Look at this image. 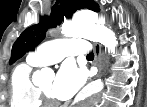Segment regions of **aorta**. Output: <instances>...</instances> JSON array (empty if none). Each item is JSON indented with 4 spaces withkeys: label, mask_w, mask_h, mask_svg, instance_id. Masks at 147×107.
I'll return each instance as SVG.
<instances>
[{
    "label": "aorta",
    "mask_w": 147,
    "mask_h": 107,
    "mask_svg": "<svg viewBox=\"0 0 147 107\" xmlns=\"http://www.w3.org/2000/svg\"><path fill=\"white\" fill-rule=\"evenodd\" d=\"M61 32L66 37H80L99 42L105 48L115 50L118 42L115 34L106 26L100 25L95 19L89 17H75L71 21L64 22ZM54 72L49 68H44L35 73V78L53 77ZM103 83L98 80L90 84L86 98V106L92 107L100 100V91Z\"/></svg>",
    "instance_id": "aorta-1"
}]
</instances>
